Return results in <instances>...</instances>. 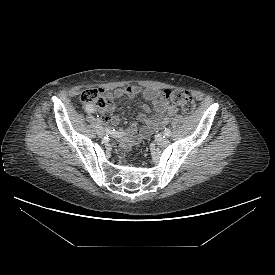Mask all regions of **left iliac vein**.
<instances>
[{"label": "left iliac vein", "instance_id": "obj_1", "mask_svg": "<svg viewBox=\"0 0 275 275\" xmlns=\"http://www.w3.org/2000/svg\"><path fill=\"white\" fill-rule=\"evenodd\" d=\"M157 144L160 146V147H166L168 144H169V140L165 137H161L157 140Z\"/></svg>", "mask_w": 275, "mask_h": 275}]
</instances>
